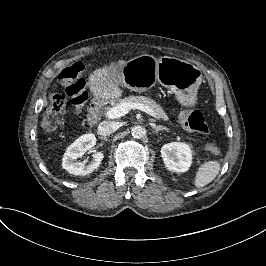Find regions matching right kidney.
Here are the masks:
<instances>
[{"label":"right kidney","mask_w":266,"mask_h":266,"mask_svg":"<svg viewBox=\"0 0 266 266\" xmlns=\"http://www.w3.org/2000/svg\"><path fill=\"white\" fill-rule=\"evenodd\" d=\"M96 145V137L93 134H86L77 139L65 152L74 162V175H88L98 168L104 158L101 151L95 152L92 161L87 165L85 163H78L76 160L84 156L87 151L93 149Z\"/></svg>","instance_id":"ca27d5eb"}]
</instances>
